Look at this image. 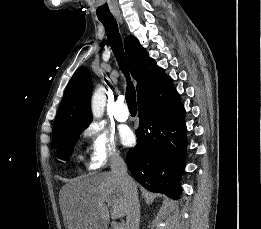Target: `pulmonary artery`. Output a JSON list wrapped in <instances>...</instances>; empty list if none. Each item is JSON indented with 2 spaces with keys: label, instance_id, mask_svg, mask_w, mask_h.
<instances>
[{
  "label": "pulmonary artery",
  "instance_id": "obj_1",
  "mask_svg": "<svg viewBox=\"0 0 261 229\" xmlns=\"http://www.w3.org/2000/svg\"><path fill=\"white\" fill-rule=\"evenodd\" d=\"M114 116L117 121L125 122L129 119V111L127 106L124 104V97L119 96L114 106Z\"/></svg>",
  "mask_w": 261,
  "mask_h": 229
}]
</instances>
